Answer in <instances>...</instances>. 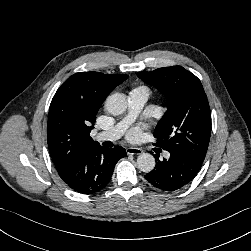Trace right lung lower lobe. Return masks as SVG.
Listing matches in <instances>:
<instances>
[{"label":"right lung lower lobe","mask_w":251,"mask_h":251,"mask_svg":"<svg viewBox=\"0 0 251 251\" xmlns=\"http://www.w3.org/2000/svg\"><path fill=\"white\" fill-rule=\"evenodd\" d=\"M126 156L120 146L86 149L60 177L73 190L82 194H93L109 183L119 159Z\"/></svg>","instance_id":"obj_1"}]
</instances>
